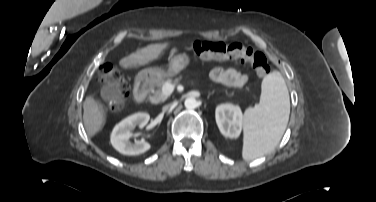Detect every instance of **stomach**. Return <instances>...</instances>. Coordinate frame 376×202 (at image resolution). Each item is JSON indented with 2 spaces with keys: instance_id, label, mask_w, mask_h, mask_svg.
<instances>
[{
  "instance_id": "1",
  "label": "stomach",
  "mask_w": 376,
  "mask_h": 202,
  "mask_svg": "<svg viewBox=\"0 0 376 202\" xmlns=\"http://www.w3.org/2000/svg\"><path fill=\"white\" fill-rule=\"evenodd\" d=\"M189 62L190 58L186 53L177 54L170 60L167 72L160 68H145L139 72L138 76L143 77L146 82L151 83L166 75L173 76L180 73L189 65Z\"/></svg>"
}]
</instances>
